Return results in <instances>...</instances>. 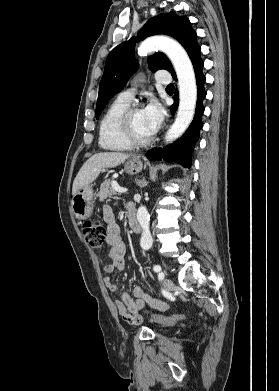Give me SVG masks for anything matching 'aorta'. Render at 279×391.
I'll return each mask as SVG.
<instances>
[{
    "mask_svg": "<svg viewBox=\"0 0 279 391\" xmlns=\"http://www.w3.org/2000/svg\"><path fill=\"white\" fill-rule=\"evenodd\" d=\"M155 50H160L168 56L178 78L177 116L165 135V141L172 142L185 132L193 120L197 102L195 73L187 52L177 41L164 36L149 37L141 43L138 52L140 55H147ZM137 220L142 228L140 246L148 250L152 246L153 239L149 229L150 217L145 206L138 208Z\"/></svg>",
    "mask_w": 279,
    "mask_h": 391,
    "instance_id": "762f6f07",
    "label": "aorta"
}]
</instances>
